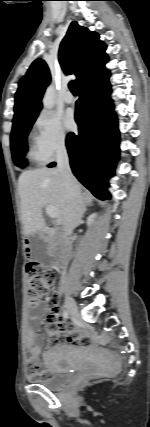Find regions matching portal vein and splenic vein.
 <instances>
[{
  "instance_id": "obj_1",
  "label": "portal vein and splenic vein",
  "mask_w": 150,
  "mask_h": 427,
  "mask_svg": "<svg viewBox=\"0 0 150 427\" xmlns=\"http://www.w3.org/2000/svg\"><path fill=\"white\" fill-rule=\"evenodd\" d=\"M46 213L51 217V218H57L58 216V210L56 207L52 206V205H48L46 206Z\"/></svg>"
}]
</instances>
